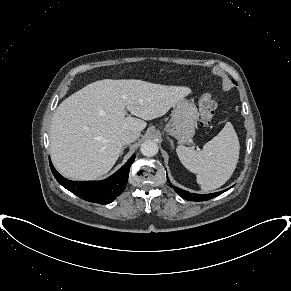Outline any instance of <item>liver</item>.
Listing matches in <instances>:
<instances>
[{
	"mask_svg": "<svg viewBox=\"0 0 291 291\" xmlns=\"http://www.w3.org/2000/svg\"><path fill=\"white\" fill-rule=\"evenodd\" d=\"M190 93L187 87L135 79H104L85 86L53 115L49 150L55 168L72 180L100 178L117 161L124 132H141L145 121L165 115ZM127 111L138 118L126 117Z\"/></svg>",
	"mask_w": 291,
	"mask_h": 291,
	"instance_id": "6515ba94",
	"label": "liver"
}]
</instances>
